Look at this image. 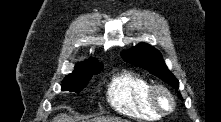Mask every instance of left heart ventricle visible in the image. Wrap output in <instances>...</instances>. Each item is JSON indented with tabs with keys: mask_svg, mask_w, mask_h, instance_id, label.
Returning <instances> with one entry per match:
<instances>
[{
	"mask_svg": "<svg viewBox=\"0 0 221 122\" xmlns=\"http://www.w3.org/2000/svg\"><path fill=\"white\" fill-rule=\"evenodd\" d=\"M160 101H161V104L166 107V108H169L170 107V101L168 100V98L164 95H162L160 97Z\"/></svg>",
	"mask_w": 221,
	"mask_h": 122,
	"instance_id": "1",
	"label": "left heart ventricle"
}]
</instances>
